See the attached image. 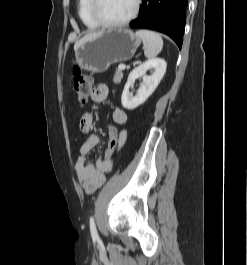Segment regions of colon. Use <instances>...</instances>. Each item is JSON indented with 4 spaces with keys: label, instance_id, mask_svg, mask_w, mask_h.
Returning <instances> with one entry per match:
<instances>
[{
    "label": "colon",
    "instance_id": "obj_1",
    "mask_svg": "<svg viewBox=\"0 0 247 265\" xmlns=\"http://www.w3.org/2000/svg\"><path fill=\"white\" fill-rule=\"evenodd\" d=\"M93 80L78 66L73 68V90L80 105H84L92 94ZM109 144L103 161L105 164L112 163L116 153L121 147L120 132L114 125L109 126Z\"/></svg>",
    "mask_w": 247,
    "mask_h": 265
}]
</instances>
